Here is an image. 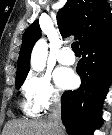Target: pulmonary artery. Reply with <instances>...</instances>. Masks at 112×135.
Listing matches in <instances>:
<instances>
[{
	"instance_id": "pulmonary-artery-1",
	"label": "pulmonary artery",
	"mask_w": 112,
	"mask_h": 135,
	"mask_svg": "<svg viewBox=\"0 0 112 135\" xmlns=\"http://www.w3.org/2000/svg\"><path fill=\"white\" fill-rule=\"evenodd\" d=\"M57 60L63 65H72L75 62V56L69 47H62L57 52Z\"/></svg>"
}]
</instances>
